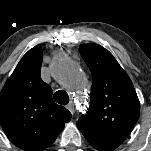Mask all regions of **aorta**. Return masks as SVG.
I'll return each instance as SVG.
<instances>
[{
  "instance_id": "aorta-1",
  "label": "aorta",
  "mask_w": 151,
  "mask_h": 151,
  "mask_svg": "<svg viewBox=\"0 0 151 151\" xmlns=\"http://www.w3.org/2000/svg\"><path fill=\"white\" fill-rule=\"evenodd\" d=\"M76 65L66 59H58L54 62L52 67V73L57 77L73 76L77 72Z\"/></svg>"
}]
</instances>
